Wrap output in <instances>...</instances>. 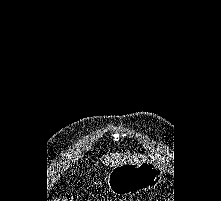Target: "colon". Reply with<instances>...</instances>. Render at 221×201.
<instances>
[{
    "mask_svg": "<svg viewBox=\"0 0 221 201\" xmlns=\"http://www.w3.org/2000/svg\"><path fill=\"white\" fill-rule=\"evenodd\" d=\"M55 201H75L70 195H63L55 199Z\"/></svg>",
    "mask_w": 221,
    "mask_h": 201,
    "instance_id": "5ec220e1",
    "label": "colon"
}]
</instances>
